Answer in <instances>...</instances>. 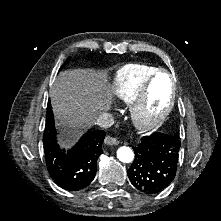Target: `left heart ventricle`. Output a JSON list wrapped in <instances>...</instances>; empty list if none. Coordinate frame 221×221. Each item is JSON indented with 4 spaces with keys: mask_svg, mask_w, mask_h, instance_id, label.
Listing matches in <instances>:
<instances>
[{
    "mask_svg": "<svg viewBox=\"0 0 221 221\" xmlns=\"http://www.w3.org/2000/svg\"><path fill=\"white\" fill-rule=\"evenodd\" d=\"M170 92L169 77L166 74L159 75L151 88L144 115L146 117H155L160 114L169 102Z\"/></svg>",
    "mask_w": 221,
    "mask_h": 221,
    "instance_id": "left-heart-ventricle-1",
    "label": "left heart ventricle"
}]
</instances>
